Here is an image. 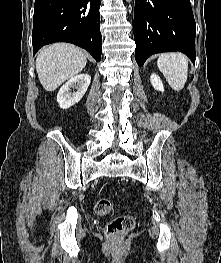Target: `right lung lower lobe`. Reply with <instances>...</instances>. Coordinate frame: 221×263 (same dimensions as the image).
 Returning a JSON list of instances; mask_svg holds the SVG:
<instances>
[{
	"label": "right lung lower lobe",
	"mask_w": 221,
	"mask_h": 263,
	"mask_svg": "<svg viewBox=\"0 0 221 263\" xmlns=\"http://www.w3.org/2000/svg\"><path fill=\"white\" fill-rule=\"evenodd\" d=\"M100 5V0H35L33 55L44 45L69 42L100 61Z\"/></svg>",
	"instance_id": "right-lung-lower-lobe-1"
}]
</instances>
